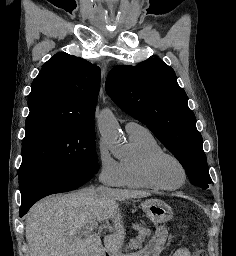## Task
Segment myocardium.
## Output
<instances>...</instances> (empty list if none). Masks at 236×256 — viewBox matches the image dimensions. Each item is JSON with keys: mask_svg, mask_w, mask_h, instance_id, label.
<instances>
[{"mask_svg": "<svg viewBox=\"0 0 236 256\" xmlns=\"http://www.w3.org/2000/svg\"><path fill=\"white\" fill-rule=\"evenodd\" d=\"M166 159L173 160L182 169L183 180L179 184H176V185L169 184L161 177L160 166H161L162 162ZM145 174H146L148 181L152 185H154L155 187H157L159 189H164V190L178 189V188L182 187L188 179V171H187L185 164L182 162V160L179 157H177L176 155H174L172 153L164 152V151L161 153H158V154H154L148 159V161L146 163V167H145Z\"/></svg>", "mask_w": 236, "mask_h": 256, "instance_id": "obj_1", "label": "myocardium"}]
</instances>
